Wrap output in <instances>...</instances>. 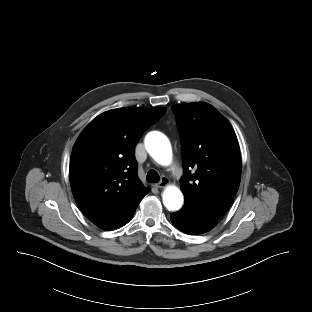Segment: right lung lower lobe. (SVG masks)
I'll return each mask as SVG.
<instances>
[{
	"label": "right lung lower lobe",
	"instance_id": "obj_1",
	"mask_svg": "<svg viewBox=\"0 0 312 312\" xmlns=\"http://www.w3.org/2000/svg\"><path fill=\"white\" fill-rule=\"evenodd\" d=\"M132 217H133V216H132ZM132 217L129 219V221L132 219ZM129 221H128V222H129ZM128 222H127V223H128Z\"/></svg>",
	"mask_w": 312,
	"mask_h": 312
}]
</instances>
